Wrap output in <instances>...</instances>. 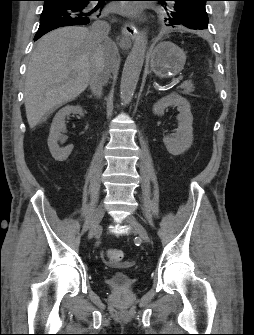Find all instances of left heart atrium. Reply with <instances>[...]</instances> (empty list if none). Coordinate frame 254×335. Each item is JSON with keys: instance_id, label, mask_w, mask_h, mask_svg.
Returning <instances> with one entry per match:
<instances>
[{"instance_id": "1", "label": "left heart atrium", "mask_w": 254, "mask_h": 335, "mask_svg": "<svg viewBox=\"0 0 254 335\" xmlns=\"http://www.w3.org/2000/svg\"><path fill=\"white\" fill-rule=\"evenodd\" d=\"M118 10L126 16H136L141 12V7L138 4L124 2Z\"/></svg>"}]
</instances>
